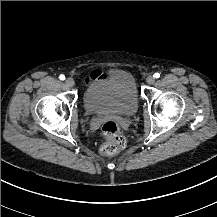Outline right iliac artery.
<instances>
[{
    "label": "right iliac artery",
    "mask_w": 217,
    "mask_h": 217,
    "mask_svg": "<svg viewBox=\"0 0 217 217\" xmlns=\"http://www.w3.org/2000/svg\"><path fill=\"white\" fill-rule=\"evenodd\" d=\"M59 78H60V80H65V76H64L63 74H61V75L59 76Z\"/></svg>",
    "instance_id": "right-iliac-artery-1"
}]
</instances>
